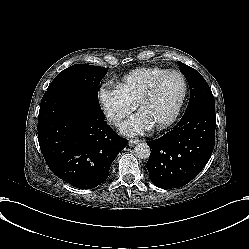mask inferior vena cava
<instances>
[{
	"instance_id": "602c4592",
	"label": "inferior vena cava",
	"mask_w": 249,
	"mask_h": 249,
	"mask_svg": "<svg viewBox=\"0 0 249 249\" xmlns=\"http://www.w3.org/2000/svg\"><path fill=\"white\" fill-rule=\"evenodd\" d=\"M108 120L112 125H119L122 121V119L115 114H110Z\"/></svg>"
}]
</instances>
